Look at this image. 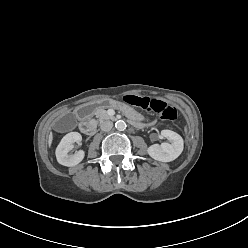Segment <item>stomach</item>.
Returning <instances> with one entry per match:
<instances>
[{"mask_svg": "<svg viewBox=\"0 0 248 248\" xmlns=\"http://www.w3.org/2000/svg\"><path fill=\"white\" fill-rule=\"evenodd\" d=\"M116 107L119 109V111L123 114H125L130 120H133L135 118L134 111L129 108L127 105H123L119 100H100V101H95L93 102L90 106L89 109L91 111L96 110L97 108L100 107Z\"/></svg>", "mask_w": 248, "mask_h": 248, "instance_id": "obj_1", "label": "stomach"}]
</instances>
